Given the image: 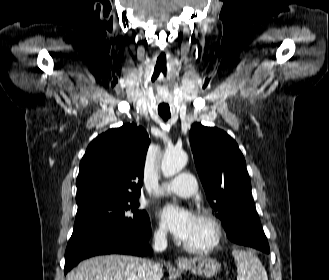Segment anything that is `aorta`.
Segmentation results:
<instances>
[{"mask_svg": "<svg viewBox=\"0 0 329 280\" xmlns=\"http://www.w3.org/2000/svg\"><path fill=\"white\" fill-rule=\"evenodd\" d=\"M187 160V154L183 150L168 148L161 163L163 175L167 178L176 175L186 166Z\"/></svg>", "mask_w": 329, "mask_h": 280, "instance_id": "1", "label": "aorta"}]
</instances>
